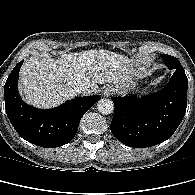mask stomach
<instances>
[{
    "label": "stomach",
    "instance_id": "0dacf381",
    "mask_svg": "<svg viewBox=\"0 0 195 195\" xmlns=\"http://www.w3.org/2000/svg\"><path fill=\"white\" fill-rule=\"evenodd\" d=\"M120 89L119 88H116V91H119Z\"/></svg>",
    "mask_w": 195,
    "mask_h": 195
}]
</instances>
